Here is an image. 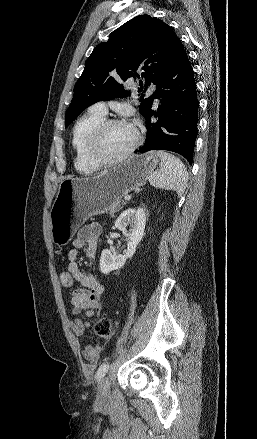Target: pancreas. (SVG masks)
Masks as SVG:
<instances>
[{"mask_svg": "<svg viewBox=\"0 0 257 439\" xmlns=\"http://www.w3.org/2000/svg\"><path fill=\"white\" fill-rule=\"evenodd\" d=\"M123 205H125V202L123 201H117L110 205V207L107 209L106 212H109L111 216H114L115 213H117L120 209H122Z\"/></svg>", "mask_w": 257, "mask_h": 439, "instance_id": "cf45deb5", "label": "pancreas"}]
</instances>
